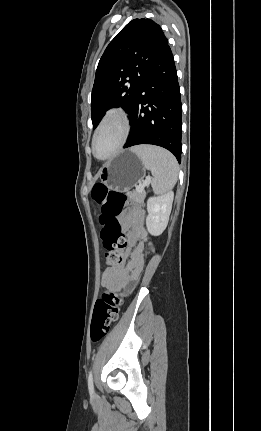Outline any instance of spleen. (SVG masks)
Segmentation results:
<instances>
[{
	"label": "spleen",
	"mask_w": 261,
	"mask_h": 431,
	"mask_svg": "<svg viewBox=\"0 0 261 431\" xmlns=\"http://www.w3.org/2000/svg\"><path fill=\"white\" fill-rule=\"evenodd\" d=\"M150 170L151 186L155 194H166L175 186L178 178V163L169 151L160 147L140 145L131 149Z\"/></svg>",
	"instance_id": "1"
}]
</instances>
